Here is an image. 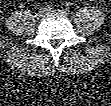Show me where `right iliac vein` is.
I'll return each instance as SVG.
<instances>
[{"instance_id":"1","label":"right iliac vein","mask_w":111,"mask_h":106,"mask_svg":"<svg viewBox=\"0 0 111 106\" xmlns=\"http://www.w3.org/2000/svg\"><path fill=\"white\" fill-rule=\"evenodd\" d=\"M47 13H48V11H47L45 8H42V9H40V10L38 11L37 15H38L39 17H43V16H45Z\"/></svg>"}]
</instances>
